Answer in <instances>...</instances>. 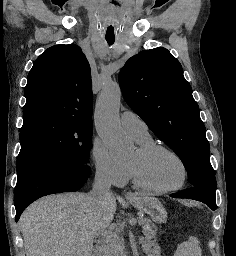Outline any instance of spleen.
Listing matches in <instances>:
<instances>
[{"mask_svg": "<svg viewBox=\"0 0 236 256\" xmlns=\"http://www.w3.org/2000/svg\"><path fill=\"white\" fill-rule=\"evenodd\" d=\"M202 250L197 238H189L188 242H183L178 246L175 256H201Z\"/></svg>", "mask_w": 236, "mask_h": 256, "instance_id": "spleen-1", "label": "spleen"}]
</instances>
